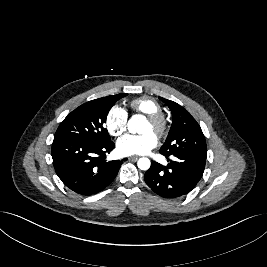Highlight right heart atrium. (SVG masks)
<instances>
[{"label":"right heart atrium","instance_id":"1","mask_svg":"<svg viewBox=\"0 0 267 267\" xmlns=\"http://www.w3.org/2000/svg\"><path fill=\"white\" fill-rule=\"evenodd\" d=\"M127 124V111L119 105L112 106L105 119V125L109 133L113 136H120L126 131Z\"/></svg>","mask_w":267,"mask_h":267}]
</instances>
